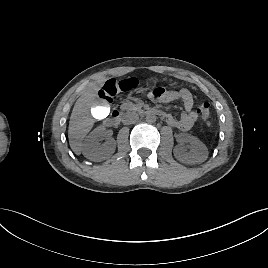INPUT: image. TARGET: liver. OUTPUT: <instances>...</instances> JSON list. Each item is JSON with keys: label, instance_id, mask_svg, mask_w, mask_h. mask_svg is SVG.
Returning a JSON list of instances; mask_svg holds the SVG:
<instances>
[{"label": "liver", "instance_id": "1", "mask_svg": "<svg viewBox=\"0 0 268 268\" xmlns=\"http://www.w3.org/2000/svg\"><path fill=\"white\" fill-rule=\"evenodd\" d=\"M101 85L93 84L77 99L69 121L68 138L73 152L79 155L82 151V140L92 129L95 119L90 110L96 107V96Z\"/></svg>", "mask_w": 268, "mask_h": 268}]
</instances>
